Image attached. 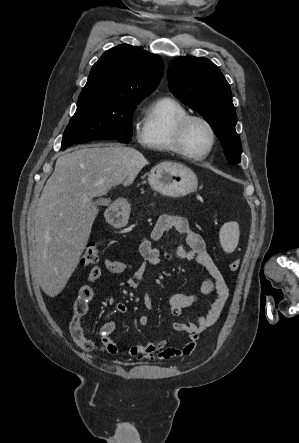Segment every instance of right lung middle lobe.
I'll return each mask as SVG.
<instances>
[{"instance_id": "right-lung-middle-lobe-1", "label": "right lung middle lobe", "mask_w": 299, "mask_h": 443, "mask_svg": "<svg viewBox=\"0 0 299 443\" xmlns=\"http://www.w3.org/2000/svg\"><path fill=\"white\" fill-rule=\"evenodd\" d=\"M140 102L113 96L80 95L77 110L64 132L61 149L100 139L129 143L133 111Z\"/></svg>"}]
</instances>
